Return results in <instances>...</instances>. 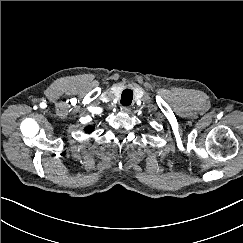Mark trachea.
Wrapping results in <instances>:
<instances>
[{
	"label": "trachea",
	"instance_id": "3493384b",
	"mask_svg": "<svg viewBox=\"0 0 243 243\" xmlns=\"http://www.w3.org/2000/svg\"><path fill=\"white\" fill-rule=\"evenodd\" d=\"M133 99V91L130 89H125L121 95V104L129 106Z\"/></svg>",
	"mask_w": 243,
	"mask_h": 243
}]
</instances>
